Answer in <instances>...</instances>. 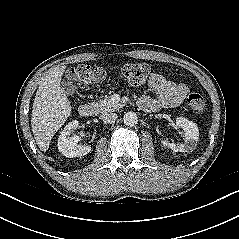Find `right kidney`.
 <instances>
[{"label": "right kidney", "mask_w": 239, "mask_h": 239, "mask_svg": "<svg viewBox=\"0 0 239 239\" xmlns=\"http://www.w3.org/2000/svg\"><path fill=\"white\" fill-rule=\"evenodd\" d=\"M78 126L79 122L77 120L69 122L58 138V149L68 158L81 157L91 151V146H80L77 144L80 141L79 136H70L72 131Z\"/></svg>", "instance_id": "1"}]
</instances>
